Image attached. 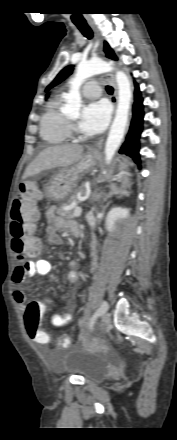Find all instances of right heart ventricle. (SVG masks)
Instances as JSON below:
<instances>
[{"label":"right heart ventricle","instance_id":"1","mask_svg":"<svg viewBox=\"0 0 177 440\" xmlns=\"http://www.w3.org/2000/svg\"><path fill=\"white\" fill-rule=\"evenodd\" d=\"M40 136L46 144L50 145L65 143L70 136V125L61 111V99L58 96L47 103L41 116Z\"/></svg>","mask_w":177,"mask_h":440}]
</instances>
